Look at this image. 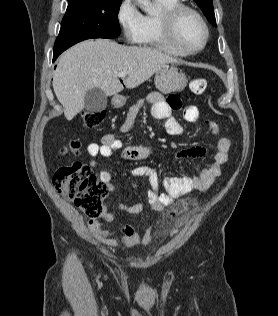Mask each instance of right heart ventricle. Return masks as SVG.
<instances>
[{
    "label": "right heart ventricle",
    "instance_id": "1",
    "mask_svg": "<svg viewBox=\"0 0 278 316\" xmlns=\"http://www.w3.org/2000/svg\"><path fill=\"white\" fill-rule=\"evenodd\" d=\"M160 7L157 14L143 15L142 30L138 44L162 50L168 54L177 57H183L186 54L180 51L169 40L163 26V15L168 10L181 4L180 0H156Z\"/></svg>",
    "mask_w": 278,
    "mask_h": 316
}]
</instances>
